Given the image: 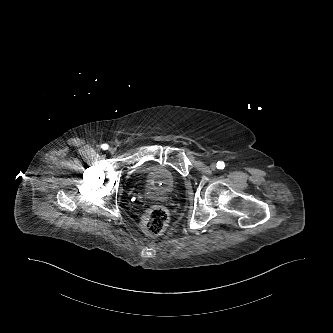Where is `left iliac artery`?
I'll return each instance as SVG.
<instances>
[{
    "label": "left iliac artery",
    "mask_w": 333,
    "mask_h": 333,
    "mask_svg": "<svg viewBox=\"0 0 333 333\" xmlns=\"http://www.w3.org/2000/svg\"><path fill=\"white\" fill-rule=\"evenodd\" d=\"M225 167V163L223 161H218L217 162V168L218 169H224Z\"/></svg>",
    "instance_id": "44dca946"
}]
</instances>
